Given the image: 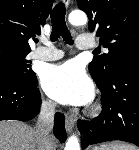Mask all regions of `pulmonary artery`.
Masks as SVG:
<instances>
[{
    "label": "pulmonary artery",
    "instance_id": "pulmonary-artery-1",
    "mask_svg": "<svg viewBox=\"0 0 139 150\" xmlns=\"http://www.w3.org/2000/svg\"><path fill=\"white\" fill-rule=\"evenodd\" d=\"M45 46L38 47L33 52V57L42 61H53L58 60L63 57V52L61 50L53 47L48 41H44ZM97 46L93 38L87 35H81L77 38L76 47L79 50H90Z\"/></svg>",
    "mask_w": 139,
    "mask_h": 150
}]
</instances>
